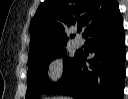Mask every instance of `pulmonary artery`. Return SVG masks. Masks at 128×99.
Returning a JSON list of instances; mask_svg holds the SVG:
<instances>
[{
  "instance_id": "1",
  "label": "pulmonary artery",
  "mask_w": 128,
  "mask_h": 99,
  "mask_svg": "<svg viewBox=\"0 0 128 99\" xmlns=\"http://www.w3.org/2000/svg\"><path fill=\"white\" fill-rule=\"evenodd\" d=\"M83 45V41L80 37H76L75 39V46L76 47H81Z\"/></svg>"
}]
</instances>
